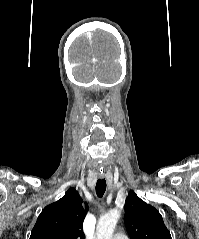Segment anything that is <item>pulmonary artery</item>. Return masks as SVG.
Segmentation results:
<instances>
[{"label": "pulmonary artery", "instance_id": "1", "mask_svg": "<svg viewBox=\"0 0 199 239\" xmlns=\"http://www.w3.org/2000/svg\"><path fill=\"white\" fill-rule=\"evenodd\" d=\"M113 239H128V237L123 233H117L114 235Z\"/></svg>", "mask_w": 199, "mask_h": 239}]
</instances>
